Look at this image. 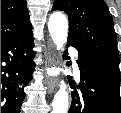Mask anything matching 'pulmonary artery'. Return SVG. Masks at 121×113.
Masks as SVG:
<instances>
[{"label": "pulmonary artery", "mask_w": 121, "mask_h": 113, "mask_svg": "<svg viewBox=\"0 0 121 113\" xmlns=\"http://www.w3.org/2000/svg\"><path fill=\"white\" fill-rule=\"evenodd\" d=\"M72 54L75 55V51H74V50H72ZM73 70H74V72H75L77 75L80 74V70H79V67H78V64H77V63H74V65H73Z\"/></svg>", "instance_id": "1"}]
</instances>
